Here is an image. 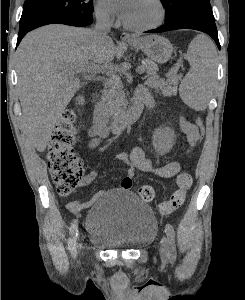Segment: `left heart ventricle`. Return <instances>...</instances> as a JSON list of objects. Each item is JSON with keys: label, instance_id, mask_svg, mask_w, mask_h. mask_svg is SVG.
I'll list each match as a JSON object with an SVG mask.
<instances>
[{"label": "left heart ventricle", "instance_id": "left-heart-ventricle-1", "mask_svg": "<svg viewBox=\"0 0 245 300\" xmlns=\"http://www.w3.org/2000/svg\"><path fill=\"white\" fill-rule=\"evenodd\" d=\"M159 10L153 0H130L124 20L132 25L144 26L157 21Z\"/></svg>", "mask_w": 245, "mask_h": 300}]
</instances>
